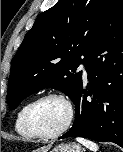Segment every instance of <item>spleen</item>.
I'll use <instances>...</instances> for the list:
<instances>
[{"instance_id": "3e777b00", "label": "spleen", "mask_w": 123, "mask_h": 152, "mask_svg": "<svg viewBox=\"0 0 123 152\" xmlns=\"http://www.w3.org/2000/svg\"><path fill=\"white\" fill-rule=\"evenodd\" d=\"M76 140L84 145L86 148L90 149L92 152H97L98 151V145L94 143L93 141H90L85 138L77 137Z\"/></svg>"}]
</instances>
